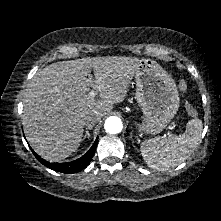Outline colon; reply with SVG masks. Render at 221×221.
I'll use <instances>...</instances> for the list:
<instances>
[{"label":"colon","instance_id":"1","mask_svg":"<svg viewBox=\"0 0 221 221\" xmlns=\"http://www.w3.org/2000/svg\"><path fill=\"white\" fill-rule=\"evenodd\" d=\"M179 88L181 89V91L185 92L187 90L186 82L183 80L180 81ZM186 108H187V112L190 116H192V117L197 116L198 112H197L196 108L194 106H192L190 103L187 104Z\"/></svg>","mask_w":221,"mask_h":221}]
</instances>
